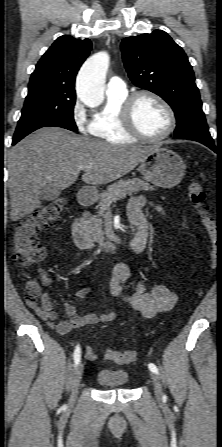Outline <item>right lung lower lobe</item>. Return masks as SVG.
Returning a JSON list of instances; mask_svg holds the SVG:
<instances>
[{"label": "right lung lower lobe", "instance_id": "right-lung-lower-lobe-1", "mask_svg": "<svg viewBox=\"0 0 222 447\" xmlns=\"http://www.w3.org/2000/svg\"><path fill=\"white\" fill-rule=\"evenodd\" d=\"M17 142H18L17 140H13V143H12V144L14 145V144H16Z\"/></svg>", "mask_w": 222, "mask_h": 447}]
</instances>
